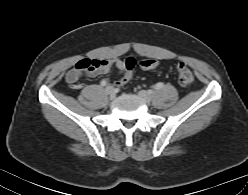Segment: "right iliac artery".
Returning a JSON list of instances; mask_svg holds the SVG:
<instances>
[{
  "mask_svg": "<svg viewBox=\"0 0 248 195\" xmlns=\"http://www.w3.org/2000/svg\"><path fill=\"white\" fill-rule=\"evenodd\" d=\"M102 86H106L107 85V82L105 80H102L101 83H100Z\"/></svg>",
  "mask_w": 248,
  "mask_h": 195,
  "instance_id": "1",
  "label": "right iliac artery"
}]
</instances>
